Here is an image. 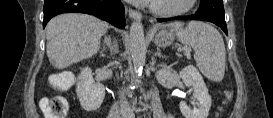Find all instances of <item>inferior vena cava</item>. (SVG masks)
Listing matches in <instances>:
<instances>
[{
	"label": "inferior vena cava",
	"mask_w": 273,
	"mask_h": 118,
	"mask_svg": "<svg viewBox=\"0 0 273 118\" xmlns=\"http://www.w3.org/2000/svg\"><path fill=\"white\" fill-rule=\"evenodd\" d=\"M121 114L124 118H133L134 113L131 110L127 100L124 97V94L121 93Z\"/></svg>",
	"instance_id": "inferior-vena-cava-1"
}]
</instances>
